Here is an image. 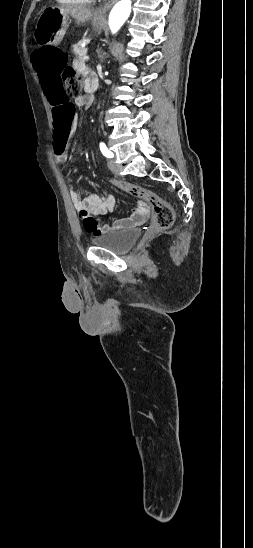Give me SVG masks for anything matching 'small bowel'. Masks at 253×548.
I'll list each match as a JSON object with an SVG mask.
<instances>
[{
	"label": "small bowel",
	"mask_w": 253,
	"mask_h": 548,
	"mask_svg": "<svg viewBox=\"0 0 253 548\" xmlns=\"http://www.w3.org/2000/svg\"><path fill=\"white\" fill-rule=\"evenodd\" d=\"M73 69L80 71L84 74L85 80L94 75L88 71L83 64L76 61L73 63ZM42 83V81H41ZM47 97V96H46ZM93 101V96L89 94L79 95L75 98L73 104L74 111L77 108H83L89 106ZM72 133L65 141V147L62 150L63 156L57 157L56 151L53 149L54 158L57 163L65 164L68 161V145ZM54 142V140H53ZM73 173H77V169H72ZM70 197L74 207L80 213V217L83 221L84 227L87 232L96 236L110 231L121 230L129 227L139 225L146 221L149 216V207L144 201H138L131 210V214L127 218L118 219L111 224H102L100 217L106 215L109 212L114 211L116 207V199L114 196L108 193H91L84 195L75 190H70Z\"/></svg>",
	"instance_id": "small-bowel-1"
}]
</instances>
